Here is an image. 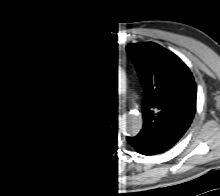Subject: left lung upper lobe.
Returning <instances> with one entry per match:
<instances>
[{
	"mask_svg": "<svg viewBox=\"0 0 220 196\" xmlns=\"http://www.w3.org/2000/svg\"><path fill=\"white\" fill-rule=\"evenodd\" d=\"M146 91L140 134L164 149L187 131L196 111V85L189 68L175 54L154 43L126 47Z\"/></svg>",
	"mask_w": 220,
	"mask_h": 196,
	"instance_id": "obj_1",
	"label": "left lung upper lobe"
}]
</instances>
